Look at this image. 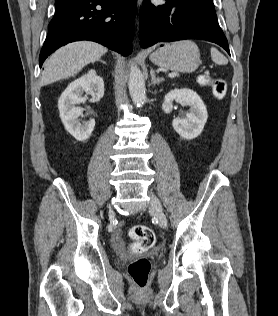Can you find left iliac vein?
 Masks as SVG:
<instances>
[{
	"label": "left iliac vein",
	"mask_w": 278,
	"mask_h": 316,
	"mask_svg": "<svg viewBox=\"0 0 278 316\" xmlns=\"http://www.w3.org/2000/svg\"><path fill=\"white\" fill-rule=\"evenodd\" d=\"M149 196H150L149 210L154 215V217L158 220L159 226L165 229L167 227V218L163 212L162 204L160 200L153 193H149Z\"/></svg>",
	"instance_id": "4c4485c4"
}]
</instances>
